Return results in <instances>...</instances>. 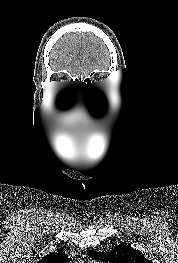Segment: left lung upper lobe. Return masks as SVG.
Masks as SVG:
<instances>
[{"label":"left lung upper lobe","instance_id":"1","mask_svg":"<svg viewBox=\"0 0 178 263\" xmlns=\"http://www.w3.org/2000/svg\"><path fill=\"white\" fill-rule=\"evenodd\" d=\"M87 254L93 259L103 263H151L144 254L133 249L127 243H121L110 252H97L89 250Z\"/></svg>","mask_w":178,"mask_h":263}]
</instances>
